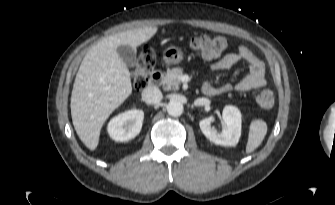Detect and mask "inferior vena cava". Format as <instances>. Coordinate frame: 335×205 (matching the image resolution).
I'll use <instances>...</instances> for the list:
<instances>
[{
    "label": "inferior vena cava",
    "instance_id": "1",
    "mask_svg": "<svg viewBox=\"0 0 335 205\" xmlns=\"http://www.w3.org/2000/svg\"><path fill=\"white\" fill-rule=\"evenodd\" d=\"M162 98V92L155 86L147 87L142 92V100L147 104H157Z\"/></svg>",
    "mask_w": 335,
    "mask_h": 205
}]
</instances>
